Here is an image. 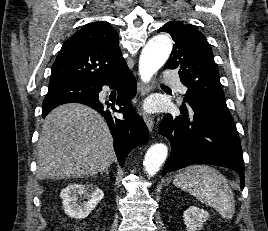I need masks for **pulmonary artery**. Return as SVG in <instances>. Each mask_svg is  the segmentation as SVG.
<instances>
[{
    "label": "pulmonary artery",
    "instance_id": "e3ab8cb5",
    "mask_svg": "<svg viewBox=\"0 0 268 231\" xmlns=\"http://www.w3.org/2000/svg\"><path fill=\"white\" fill-rule=\"evenodd\" d=\"M164 79L171 83L179 93H184L186 91V87L183 84L175 83V80L177 79L175 72L167 71L164 75Z\"/></svg>",
    "mask_w": 268,
    "mask_h": 231
}]
</instances>
